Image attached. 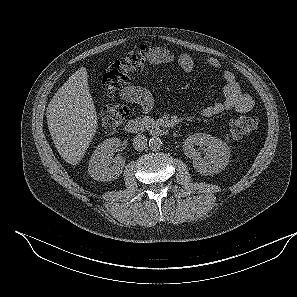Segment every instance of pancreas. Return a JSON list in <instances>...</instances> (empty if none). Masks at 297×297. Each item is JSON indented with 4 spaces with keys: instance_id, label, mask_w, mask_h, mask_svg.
<instances>
[{
    "instance_id": "pancreas-1",
    "label": "pancreas",
    "mask_w": 297,
    "mask_h": 297,
    "mask_svg": "<svg viewBox=\"0 0 297 297\" xmlns=\"http://www.w3.org/2000/svg\"><path fill=\"white\" fill-rule=\"evenodd\" d=\"M141 121H142V124H143L146 128H150V127H153V126L156 125V122H155L152 118H150V117H148V116L143 117V118L141 119Z\"/></svg>"
}]
</instances>
